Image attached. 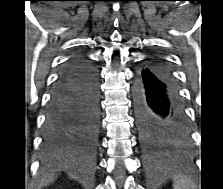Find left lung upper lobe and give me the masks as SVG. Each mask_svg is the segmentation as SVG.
Segmentation results:
<instances>
[{
  "mask_svg": "<svg viewBox=\"0 0 223 189\" xmlns=\"http://www.w3.org/2000/svg\"><path fill=\"white\" fill-rule=\"evenodd\" d=\"M151 59L159 58L153 57ZM159 60H161L166 65V63L162 59ZM139 130L142 143L149 152H161L166 151L170 148L182 147L187 142L172 135L164 126H139Z\"/></svg>",
  "mask_w": 223,
  "mask_h": 189,
  "instance_id": "5c2ea615",
  "label": "left lung upper lobe"
}]
</instances>
